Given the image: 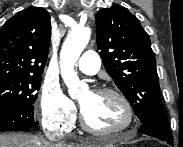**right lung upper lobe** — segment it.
Here are the masks:
<instances>
[{
	"instance_id": "1",
	"label": "right lung upper lobe",
	"mask_w": 183,
	"mask_h": 147,
	"mask_svg": "<svg viewBox=\"0 0 183 147\" xmlns=\"http://www.w3.org/2000/svg\"><path fill=\"white\" fill-rule=\"evenodd\" d=\"M50 34V16L41 7H29L6 21L0 29V80L41 75Z\"/></svg>"
}]
</instances>
